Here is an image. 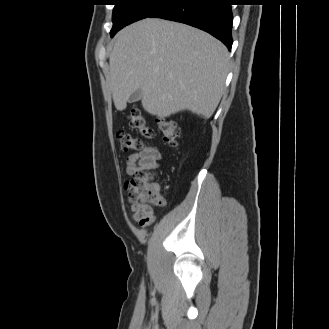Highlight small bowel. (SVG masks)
I'll list each match as a JSON object with an SVG mask.
<instances>
[{"label": "small bowel", "instance_id": "obj_1", "mask_svg": "<svg viewBox=\"0 0 329 329\" xmlns=\"http://www.w3.org/2000/svg\"><path fill=\"white\" fill-rule=\"evenodd\" d=\"M162 158L160 150L156 147H146L139 153L130 155L126 161V172L134 174L142 170H150L157 168ZM160 191V186H155ZM127 201L130 206L132 220L140 224L142 227L150 226L155 221L153 210L145 211L143 207L135 203L129 195Z\"/></svg>", "mask_w": 329, "mask_h": 329}]
</instances>
